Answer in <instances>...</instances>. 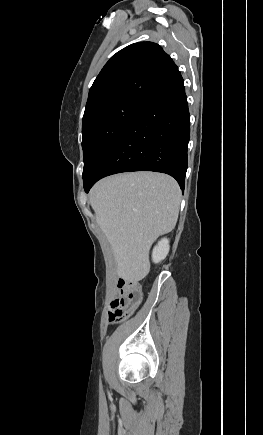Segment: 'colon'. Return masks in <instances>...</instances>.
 Masks as SVG:
<instances>
[{"mask_svg":"<svg viewBox=\"0 0 263 435\" xmlns=\"http://www.w3.org/2000/svg\"><path fill=\"white\" fill-rule=\"evenodd\" d=\"M118 296L112 301L109 309V320L118 322L131 315L141 301V286L133 280H120Z\"/></svg>","mask_w":263,"mask_h":435,"instance_id":"5ec220e1","label":"colon"}]
</instances>
